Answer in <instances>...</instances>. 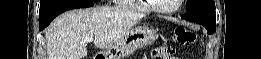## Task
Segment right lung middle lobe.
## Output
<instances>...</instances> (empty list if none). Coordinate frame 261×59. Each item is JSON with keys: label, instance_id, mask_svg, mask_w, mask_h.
<instances>
[{"label": "right lung middle lobe", "instance_id": "right-lung-middle-lobe-1", "mask_svg": "<svg viewBox=\"0 0 261 59\" xmlns=\"http://www.w3.org/2000/svg\"><path fill=\"white\" fill-rule=\"evenodd\" d=\"M67 0H40V11L39 15L44 14L47 12L49 9L55 7L56 5L63 3ZM93 1H99V0H93Z\"/></svg>", "mask_w": 261, "mask_h": 59}]
</instances>
